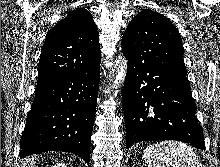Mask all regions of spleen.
Wrapping results in <instances>:
<instances>
[{"mask_svg": "<svg viewBox=\"0 0 220 167\" xmlns=\"http://www.w3.org/2000/svg\"><path fill=\"white\" fill-rule=\"evenodd\" d=\"M148 167H202L194 149L178 141H164L148 146L143 153Z\"/></svg>", "mask_w": 220, "mask_h": 167, "instance_id": "3e777b00", "label": "spleen"}]
</instances>
